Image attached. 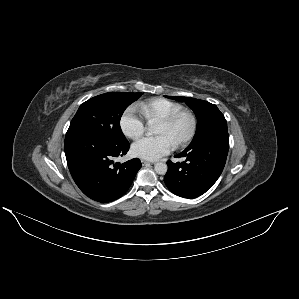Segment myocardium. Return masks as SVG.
Listing matches in <instances>:
<instances>
[{
	"label": "myocardium",
	"mask_w": 299,
	"mask_h": 299,
	"mask_svg": "<svg viewBox=\"0 0 299 299\" xmlns=\"http://www.w3.org/2000/svg\"><path fill=\"white\" fill-rule=\"evenodd\" d=\"M182 115L189 116L191 120V128L189 133L182 140L175 144V147L177 148L185 146L194 138L198 126V120L196 115L191 110L182 108L159 121V124L170 126L173 125Z\"/></svg>",
	"instance_id": "f54148a6"
}]
</instances>
